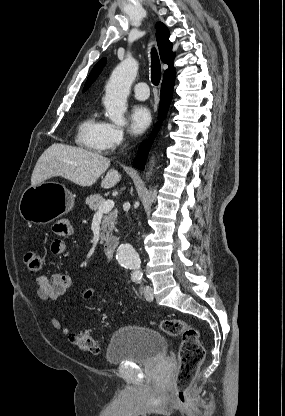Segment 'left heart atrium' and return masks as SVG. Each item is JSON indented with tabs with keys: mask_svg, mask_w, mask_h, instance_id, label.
Segmentation results:
<instances>
[{
	"mask_svg": "<svg viewBox=\"0 0 285 416\" xmlns=\"http://www.w3.org/2000/svg\"><path fill=\"white\" fill-rule=\"evenodd\" d=\"M151 121L150 111L143 105H136L130 113L132 131L136 134L143 132Z\"/></svg>",
	"mask_w": 285,
	"mask_h": 416,
	"instance_id": "39dd6f15",
	"label": "left heart atrium"
}]
</instances>
